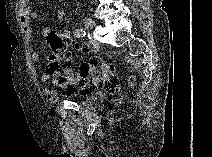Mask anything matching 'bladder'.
<instances>
[{"instance_id":"obj_1","label":"bladder","mask_w":212,"mask_h":157,"mask_svg":"<svg viewBox=\"0 0 212 157\" xmlns=\"http://www.w3.org/2000/svg\"><path fill=\"white\" fill-rule=\"evenodd\" d=\"M107 94L98 91H91L81 96L79 105L89 110H99L107 104Z\"/></svg>"}]
</instances>
